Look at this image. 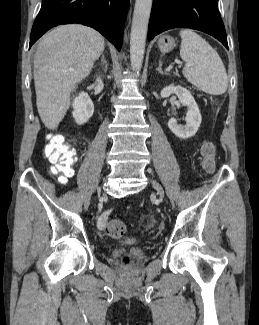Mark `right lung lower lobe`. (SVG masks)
Instances as JSON below:
<instances>
[{"instance_id": "1", "label": "right lung lower lobe", "mask_w": 259, "mask_h": 325, "mask_svg": "<svg viewBox=\"0 0 259 325\" xmlns=\"http://www.w3.org/2000/svg\"><path fill=\"white\" fill-rule=\"evenodd\" d=\"M128 5L129 0H42L29 48L52 27L78 23L98 30L120 50Z\"/></svg>"}]
</instances>
